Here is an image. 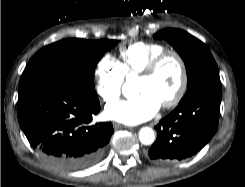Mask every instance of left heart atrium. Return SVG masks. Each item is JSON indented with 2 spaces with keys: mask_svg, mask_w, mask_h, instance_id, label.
Returning a JSON list of instances; mask_svg holds the SVG:
<instances>
[{
  "mask_svg": "<svg viewBox=\"0 0 245 187\" xmlns=\"http://www.w3.org/2000/svg\"><path fill=\"white\" fill-rule=\"evenodd\" d=\"M160 107V102L152 94L142 92L135 99L107 106L104 115L108 119L135 125L152 118Z\"/></svg>",
  "mask_w": 245,
  "mask_h": 187,
  "instance_id": "1",
  "label": "left heart atrium"
}]
</instances>
